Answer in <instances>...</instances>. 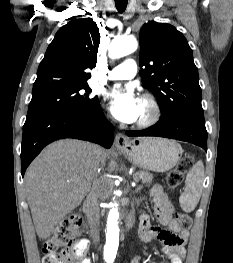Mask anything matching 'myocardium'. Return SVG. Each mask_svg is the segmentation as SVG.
Returning <instances> with one entry per match:
<instances>
[{
	"mask_svg": "<svg viewBox=\"0 0 233 263\" xmlns=\"http://www.w3.org/2000/svg\"><path fill=\"white\" fill-rule=\"evenodd\" d=\"M141 100L147 105L148 113L137 121L136 127L144 129L153 126L160 120L162 109L158 100L151 94L142 95Z\"/></svg>",
	"mask_w": 233,
	"mask_h": 263,
	"instance_id": "myocardium-1",
	"label": "myocardium"
}]
</instances>
